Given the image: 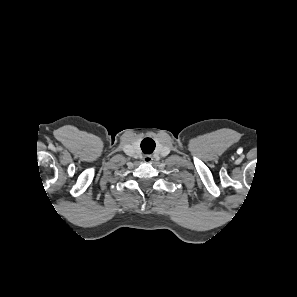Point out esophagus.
I'll list each match as a JSON object with an SVG mask.
<instances>
[{
  "mask_svg": "<svg viewBox=\"0 0 297 297\" xmlns=\"http://www.w3.org/2000/svg\"><path fill=\"white\" fill-rule=\"evenodd\" d=\"M143 160L145 163H150L152 162L153 158L150 155H146L144 156Z\"/></svg>",
  "mask_w": 297,
  "mask_h": 297,
  "instance_id": "obj_1",
  "label": "esophagus"
}]
</instances>
